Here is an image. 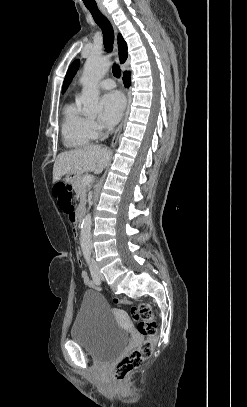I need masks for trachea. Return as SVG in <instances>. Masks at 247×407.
Returning a JSON list of instances; mask_svg holds the SVG:
<instances>
[{
  "label": "trachea",
  "instance_id": "3493384b",
  "mask_svg": "<svg viewBox=\"0 0 247 407\" xmlns=\"http://www.w3.org/2000/svg\"><path fill=\"white\" fill-rule=\"evenodd\" d=\"M86 8L90 11L94 21L103 32V43L106 51L111 52L113 50L114 31L110 21L102 14L97 6H86ZM112 72L116 78L121 76L120 67L116 63L113 64Z\"/></svg>",
  "mask_w": 247,
  "mask_h": 407
}]
</instances>
